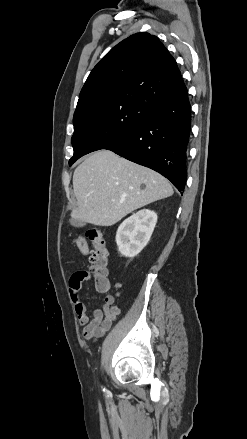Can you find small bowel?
<instances>
[{
  "instance_id": "obj_1",
  "label": "small bowel",
  "mask_w": 247,
  "mask_h": 439,
  "mask_svg": "<svg viewBox=\"0 0 247 439\" xmlns=\"http://www.w3.org/2000/svg\"><path fill=\"white\" fill-rule=\"evenodd\" d=\"M91 279L86 271H77L73 273L69 280V293L74 305L79 325L83 326V336L86 339L96 340L103 336L112 326L113 322L120 315L121 310L116 304V298L121 294L122 285L120 283L112 284L109 280V289H116L115 295H107L104 298L101 308H95L92 312V318L87 314V308L81 300L79 292L82 284ZM108 289V290H109Z\"/></svg>"
}]
</instances>
